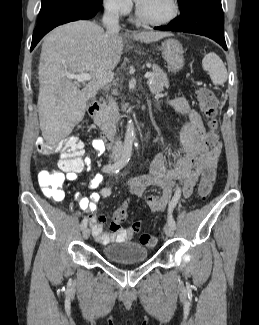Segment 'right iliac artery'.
Masks as SVG:
<instances>
[{
	"label": "right iliac artery",
	"instance_id": "right-iliac-artery-1",
	"mask_svg": "<svg viewBox=\"0 0 259 325\" xmlns=\"http://www.w3.org/2000/svg\"><path fill=\"white\" fill-rule=\"evenodd\" d=\"M131 154H132V145L128 144L126 146V149L123 152L122 157L117 162H115L114 164L104 166L102 168V171L104 173H109V171L113 169L114 165H123V166H125L128 163V161L130 160ZM86 226H87V218H84L81 225H80V227L83 230L84 228H86Z\"/></svg>",
	"mask_w": 259,
	"mask_h": 325
}]
</instances>
